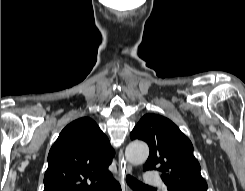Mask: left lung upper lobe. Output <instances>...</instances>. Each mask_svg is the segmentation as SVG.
I'll return each mask as SVG.
<instances>
[{"mask_svg": "<svg viewBox=\"0 0 245 191\" xmlns=\"http://www.w3.org/2000/svg\"><path fill=\"white\" fill-rule=\"evenodd\" d=\"M130 138L147 142L150 154L143 169L161 171L168 191H207L191 141L171 120L146 114L134 127Z\"/></svg>", "mask_w": 245, "mask_h": 191, "instance_id": "left-lung-upper-lobe-1", "label": "left lung upper lobe"}]
</instances>
